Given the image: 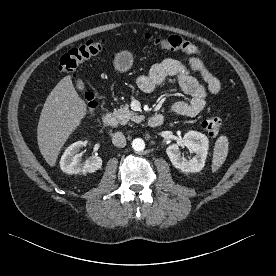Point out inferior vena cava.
Returning a JSON list of instances; mask_svg holds the SVG:
<instances>
[{
	"label": "inferior vena cava",
	"mask_w": 276,
	"mask_h": 276,
	"mask_svg": "<svg viewBox=\"0 0 276 276\" xmlns=\"http://www.w3.org/2000/svg\"><path fill=\"white\" fill-rule=\"evenodd\" d=\"M112 143L114 146L122 148L126 146V138L122 132L112 134Z\"/></svg>",
	"instance_id": "1"
}]
</instances>
